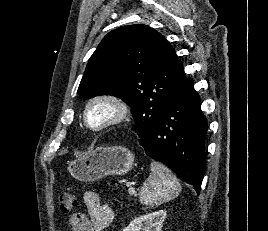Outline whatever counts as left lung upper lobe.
<instances>
[{
  "label": "left lung upper lobe",
  "instance_id": "1",
  "mask_svg": "<svg viewBox=\"0 0 268 231\" xmlns=\"http://www.w3.org/2000/svg\"><path fill=\"white\" fill-rule=\"evenodd\" d=\"M171 44L146 25L108 33L88 61L78 88L82 97L112 95L132 108V127L147 133L171 96L188 80Z\"/></svg>",
  "mask_w": 268,
  "mask_h": 231
}]
</instances>
